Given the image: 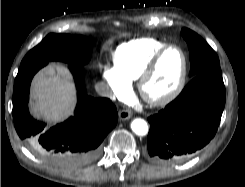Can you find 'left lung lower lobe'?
Listing matches in <instances>:
<instances>
[{"mask_svg": "<svg viewBox=\"0 0 245 187\" xmlns=\"http://www.w3.org/2000/svg\"><path fill=\"white\" fill-rule=\"evenodd\" d=\"M224 104L221 68L196 75L173 102L148 118V158L172 164L192 156L215 136Z\"/></svg>", "mask_w": 245, "mask_h": 187, "instance_id": "left-lung-lower-lobe-1", "label": "left lung lower lobe"}]
</instances>
